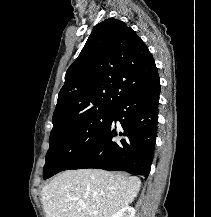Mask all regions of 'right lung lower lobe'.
<instances>
[{"mask_svg":"<svg viewBox=\"0 0 211 217\" xmlns=\"http://www.w3.org/2000/svg\"><path fill=\"white\" fill-rule=\"evenodd\" d=\"M159 94V75L132 90L115 107L113 121L104 136L67 170L98 168L148 177L154 155Z\"/></svg>","mask_w":211,"mask_h":217,"instance_id":"98d812e1","label":"right lung lower lobe"}]
</instances>
